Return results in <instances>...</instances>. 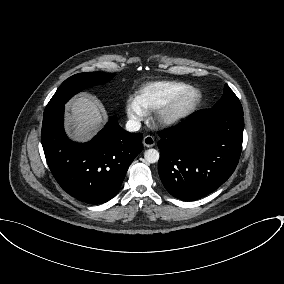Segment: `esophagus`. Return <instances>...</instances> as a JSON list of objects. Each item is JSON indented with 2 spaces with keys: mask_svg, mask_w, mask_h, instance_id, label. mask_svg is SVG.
Here are the masks:
<instances>
[{
  "mask_svg": "<svg viewBox=\"0 0 284 284\" xmlns=\"http://www.w3.org/2000/svg\"><path fill=\"white\" fill-rule=\"evenodd\" d=\"M143 144L146 147H153L155 145V139L152 136L147 135L143 138Z\"/></svg>",
  "mask_w": 284,
  "mask_h": 284,
  "instance_id": "obj_1",
  "label": "esophagus"
}]
</instances>
